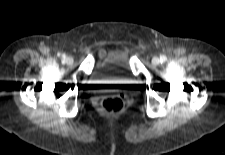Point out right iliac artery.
Segmentation results:
<instances>
[{"instance_id":"1","label":"right iliac artery","mask_w":225,"mask_h":155,"mask_svg":"<svg viewBox=\"0 0 225 155\" xmlns=\"http://www.w3.org/2000/svg\"><path fill=\"white\" fill-rule=\"evenodd\" d=\"M62 57L65 59V55H62Z\"/></svg>"}]
</instances>
